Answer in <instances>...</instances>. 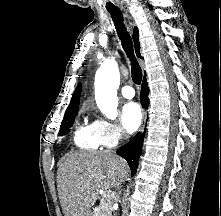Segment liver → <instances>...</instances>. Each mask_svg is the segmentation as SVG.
<instances>
[{
    "label": "liver",
    "instance_id": "liver-1",
    "mask_svg": "<svg viewBox=\"0 0 221 216\" xmlns=\"http://www.w3.org/2000/svg\"><path fill=\"white\" fill-rule=\"evenodd\" d=\"M128 174L127 162L112 153L70 154L58 168L57 189L64 216H91L98 191L118 189Z\"/></svg>",
    "mask_w": 221,
    "mask_h": 216
}]
</instances>
